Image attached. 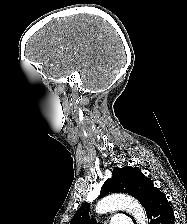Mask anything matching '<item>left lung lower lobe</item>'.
I'll use <instances>...</instances> for the list:
<instances>
[{
    "label": "left lung lower lobe",
    "instance_id": "0a47b994",
    "mask_svg": "<svg viewBox=\"0 0 187 224\" xmlns=\"http://www.w3.org/2000/svg\"><path fill=\"white\" fill-rule=\"evenodd\" d=\"M149 224H174V212L164 193L157 189L146 208Z\"/></svg>",
    "mask_w": 187,
    "mask_h": 224
}]
</instances>
